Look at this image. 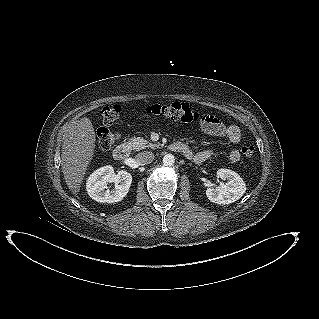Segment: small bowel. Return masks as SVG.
I'll return each instance as SVG.
<instances>
[{
  "label": "small bowel",
  "instance_id": "small-bowel-1",
  "mask_svg": "<svg viewBox=\"0 0 319 319\" xmlns=\"http://www.w3.org/2000/svg\"><path fill=\"white\" fill-rule=\"evenodd\" d=\"M201 127L203 131L209 135L221 137L227 139L233 144H238L241 141L242 133L238 126L236 125H225L218 118L212 115H207L201 122ZM186 146L188 150V156L193 160L194 163L200 164L208 159H210L215 151L213 149H207L203 151H194L188 145ZM241 153L238 149L232 148L228 153V159L232 163H236L240 160Z\"/></svg>",
  "mask_w": 319,
  "mask_h": 319
}]
</instances>
